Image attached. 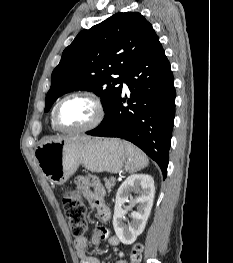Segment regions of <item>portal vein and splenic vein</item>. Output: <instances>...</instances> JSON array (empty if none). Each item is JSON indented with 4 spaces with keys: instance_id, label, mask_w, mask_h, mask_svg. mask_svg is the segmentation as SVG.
Here are the masks:
<instances>
[{
    "instance_id": "portal-vein-and-splenic-vein-1",
    "label": "portal vein and splenic vein",
    "mask_w": 233,
    "mask_h": 263,
    "mask_svg": "<svg viewBox=\"0 0 233 263\" xmlns=\"http://www.w3.org/2000/svg\"><path fill=\"white\" fill-rule=\"evenodd\" d=\"M111 179H112L113 181H115V180H116V178H115V177H112Z\"/></svg>"
}]
</instances>
